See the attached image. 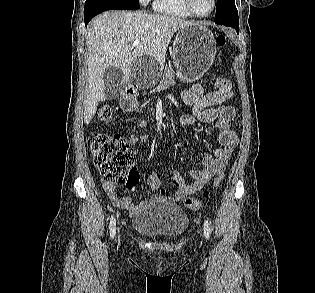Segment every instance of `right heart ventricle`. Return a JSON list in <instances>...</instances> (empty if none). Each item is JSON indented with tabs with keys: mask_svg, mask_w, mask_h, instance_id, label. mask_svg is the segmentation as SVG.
Returning <instances> with one entry per match:
<instances>
[{
	"mask_svg": "<svg viewBox=\"0 0 315 293\" xmlns=\"http://www.w3.org/2000/svg\"><path fill=\"white\" fill-rule=\"evenodd\" d=\"M155 10L161 14L175 18H193L194 15L188 10L185 0H155Z\"/></svg>",
	"mask_w": 315,
	"mask_h": 293,
	"instance_id": "e07e8e85",
	"label": "right heart ventricle"
}]
</instances>
